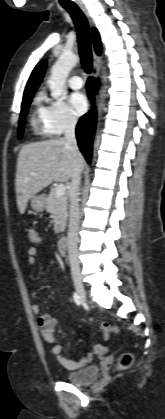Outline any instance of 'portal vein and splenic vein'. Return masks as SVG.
<instances>
[{
  "label": "portal vein and splenic vein",
  "instance_id": "18ae733b",
  "mask_svg": "<svg viewBox=\"0 0 165 419\" xmlns=\"http://www.w3.org/2000/svg\"><path fill=\"white\" fill-rule=\"evenodd\" d=\"M55 190H56L57 196L60 197L65 194L66 187L64 184H58Z\"/></svg>",
  "mask_w": 165,
  "mask_h": 419
}]
</instances>
